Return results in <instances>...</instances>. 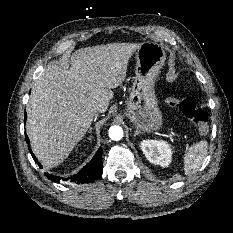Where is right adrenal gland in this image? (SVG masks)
Returning <instances> with one entry per match:
<instances>
[{
  "label": "right adrenal gland",
  "mask_w": 233,
  "mask_h": 233,
  "mask_svg": "<svg viewBox=\"0 0 233 233\" xmlns=\"http://www.w3.org/2000/svg\"><path fill=\"white\" fill-rule=\"evenodd\" d=\"M91 129H92V128L89 129V133H91ZM88 139L91 140V136H90Z\"/></svg>",
  "instance_id": "right-adrenal-gland-1"
}]
</instances>
